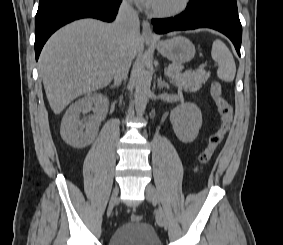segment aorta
Masks as SVG:
<instances>
[{"label":"aorta","instance_id":"762f6f07","mask_svg":"<svg viewBox=\"0 0 283 245\" xmlns=\"http://www.w3.org/2000/svg\"><path fill=\"white\" fill-rule=\"evenodd\" d=\"M151 76L148 70L142 68L138 74L135 85V110L138 115H143L150 94Z\"/></svg>","mask_w":283,"mask_h":245}]
</instances>
